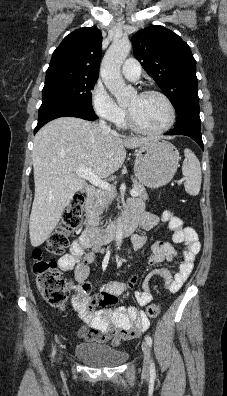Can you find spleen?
<instances>
[{
    "mask_svg": "<svg viewBox=\"0 0 227 396\" xmlns=\"http://www.w3.org/2000/svg\"><path fill=\"white\" fill-rule=\"evenodd\" d=\"M185 159L182 165V173L185 176L184 187L188 194L196 196L201 188V167L196 155L190 150H184Z\"/></svg>",
    "mask_w": 227,
    "mask_h": 396,
    "instance_id": "spleen-1",
    "label": "spleen"
}]
</instances>
